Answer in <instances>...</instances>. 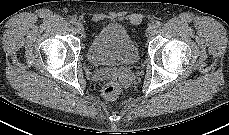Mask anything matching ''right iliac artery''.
<instances>
[{
    "label": "right iliac artery",
    "mask_w": 229,
    "mask_h": 135,
    "mask_svg": "<svg viewBox=\"0 0 229 135\" xmlns=\"http://www.w3.org/2000/svg\"><path fill=\"white\" fill-rule=\"evenodd\" d=\"M70 23L73 24V25H76L77 24V20L75 18H72L70 20Z\"/></svg>",
    "instance_id": "obj_1"
}]
</instances>
